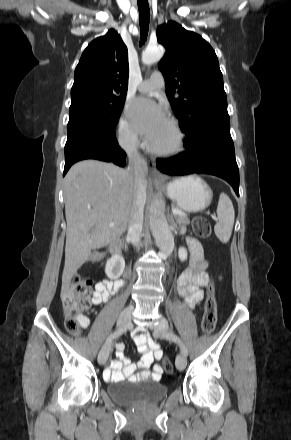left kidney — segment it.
Masks as SVG:
<instances>
[{"label":"left kidney","instance_id":"5707ae66","mask_svg":"<svg viewBox=\"0 0 291 440\" xmlns=\"http://www.w3.org/2000/svg\"><path fill=\"white\" fill-rule=\"evenodd\" d=\"M178 256L181 261H185L187 259V250L184 247H180Z\"/></svg>","mask_w":291,"mask_h":440}]
</instances>
